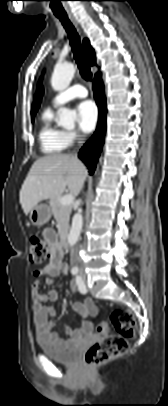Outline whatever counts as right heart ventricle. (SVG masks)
Instances as JSON below:
<instances>
[{
    "instance_id": "obj_1",
    "label": "right heart ventricle",
    "mask_w": 168,
    "mask_h": 406,
    "mask_svg": "<svg viewBox=\"0 0 168 406\" xmlns=\"http://www.w3.org/2000/svg\"><path fill=\"white\" fill-rule=\"evenodd\" d=\"M39 142L42 152L46 154L60 153L69 146L66 132L53 123L51 108L45 109L41 115Z\"/></svg>"
}]
</instances>
